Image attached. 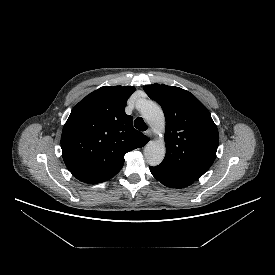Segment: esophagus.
<instances>
[{
  "label": "esophagus",
  "instance_id": "esophagus-1",
  "mask_svg": "<svg viewBox=\"0 0 275 275\" xmlns=\"http://www.w3.org/2000/svg\"><path fill=\"white\" fill-rule=\"evenodd\" d=\"M145 134H146L149 138H152V136H153L151 130H147V131L145 132Z\"/></svg>",
  "mask_w": 275,
  "mask_h": 275
}]
</instances>
